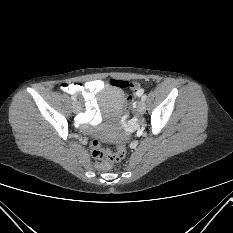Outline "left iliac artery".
Here are the masks:
<instances>
[{
    "instance_id": "obj_1",
    "label": "left iliac artery",
    "mask_w": 233,
    "mask_h": 233,
    "mask_svg": "<svg viewBox=\"0 0 233 233\" xmlns=\"http://www.w3.org/2000/svg\"><path fill=\"white\" fill-rule=\"evenodd\" d=\"M146 98H147V95H146V94H144V95L142 96V100H143V101H145V100H146Z\"/></svg>"
}]
</instances>
